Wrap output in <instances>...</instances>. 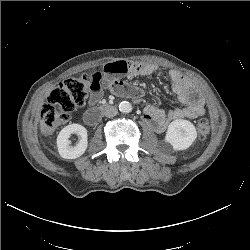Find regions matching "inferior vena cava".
<instances>
[{"mask_svg":"<svg viewBox=\"0 0 250 250\" xmlns=\"http://www.w3.org/2000/svg\"><path fill=\"white\" fill-rule=\"evenodd\" d=\"M117 113H118V110H117V108L114 107V106H108V107H106V108L104 109V115H105L106 117H109V118H110V117L116 116Z\"/></svg>","mask_w":250,"mask_h":250,"instance_id":"inferior-vena-cava-1","label":"inferior vena cava"}]
</instances>
